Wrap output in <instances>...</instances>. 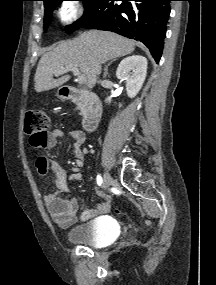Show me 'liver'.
Returning a JSON list of instances; mask_svg holds the SVG:
<instances>
[{
	"instance_id": "liver-1",
	"label": "liver",
	"mask_w": 216,
	"mask_h": 285,
	"mask_svg": "<svg viewBox=\"0 0 216 285\" xmlns=\"http://www.w3.org/2000/svg\"><path fill=\"white\" fill-rule=\"evenodd\" d=\"M135 49L132 40L106 31H87L79 37L61 42L51 51L44 53L35 73V91L43 92L56 88L70 79L69 75L54 79L61 69L76 67L86 76L88 87L95 86L96 63L130 54ZM68 72V71H67Z\"/></svg>"
}]
</instances>
